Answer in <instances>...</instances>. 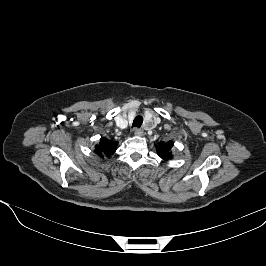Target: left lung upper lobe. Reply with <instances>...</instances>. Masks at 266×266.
I'll return each mask as SVG.
<instances>
[{
	"label": "left lung upper lobe",
	"mask_w": 266,
	"mask_h": 266,
	"mask_svg": "<svg viewBox=\"0 0 266 266\" xmlns=\"http://www.w3.org/2000/svg\"><path fill=\"white\" fill-rule=\"evenodd\" d=\"M172 147H173L172 141H168L166 143H159L158 145H156L157 153L162 159L169 160L172 158L171 155Z\"/></svg>",
	"instance_id": "1"
}]
</instances>
